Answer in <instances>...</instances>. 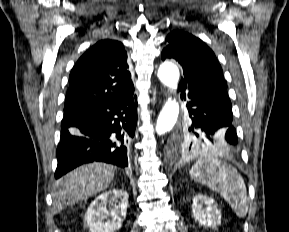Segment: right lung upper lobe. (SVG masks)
Returning a JSON list of instances; mask_svg holds the SVG:
<instances>
[{"label":"right lung upper lobe","instance_id":"right-lung-upper-lobe-1","mask_svg":"<svg viewBox=\"0 0 289 232\" xmlns=\"http://www.w3.org/2000/svg\"><path fill=\"white\" fill-rule=\"evenodd\" d=\"M121 42L101 40L73 67L64 111L120 98L134 90Z\"/></svg>","mask_w":289,"mask_h":232}]
</instances>
